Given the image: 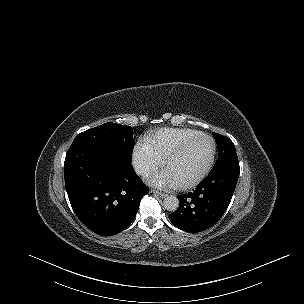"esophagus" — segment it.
Here are the masks:
<instances>
[{
    "label": "esophagus",
    "mask_w": 304,
    "mask_h": 304,
    "mask_svg": "<svg viewBox=\"0 0 304 304\" xmlns=\"http://www.w3.org/2000/svg\"><path fill=\"white\" fill-rule=\"evenodd\" d=\"M151 193H154L155 195H157V196L160 197V198H164V197L167 196V194L162 193V192H160V191H157V190H155V189H152V190H151Z\"/></svg>",
    "instance_id": "obj_1"
}]
</instances>
